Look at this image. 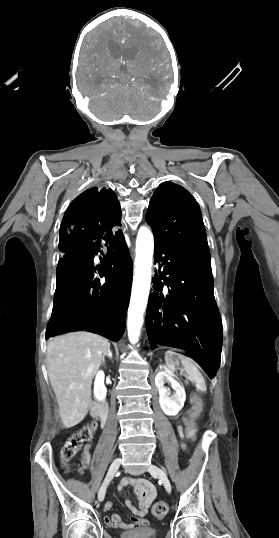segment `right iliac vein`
Masks as SVG:
<instances>
[{"label": "right iliac vein", "mask_w": 279, "mask_h": 538, "mask_svg": "<svg viewBox=\"0 0 279 538\" xmlns=\"http://www.w3.org/2000/svg\"><path fill=\"white\" fill-rule=\"evenodd\" d=\"M120 464H121V460L119 458L115 459L112 462V464H111V466H110V468L108 470V473L106 475V478H105V480H104V482H103V484H102V486H101V488H100V490L98 492V500L100 502H102L104 500L105 494H106L107 484L113 478V476L115 475V473L119 469Z\"/></svg>", "instance_id": "1"}]
</instances>
